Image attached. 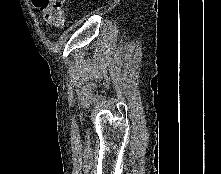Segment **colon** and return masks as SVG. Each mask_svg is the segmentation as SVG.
<instances>
[{"label":"colon","instance_id":"obj_1","mask_svg":"<svg viewBox=\"0 0 221 174\" xmlns=\"http://www.w3.org/2000/svg\"><path fill=\"white\" fill-rule=\"evenodd\" d=\"M67 0H34L37 8L43 13L47 23L62 26L64 23V5Z\"/></svg>","mask_w":221,"mask_h":174}]
</instances>
